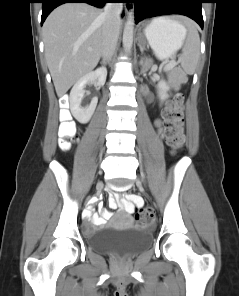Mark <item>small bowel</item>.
I'll use <instances>...</instances> for the list:
<instances>
[{
  "mask_svg": "<svg viewBox=\"0 0 239 296\" xmlns=\"http://www.w3.org/2000/svg\"><path fill=\"white\" fill-rule=\"evenodd\" d=\"M161 123L162 121L158 119L156 121V126L158 130L161 132ZM143 205V200L133 194H128L124 196H120L119 194H113L109 198V207L111 209L120 208L122 211L127 214H132L135 206ZM85 216H87L91 222L97 226L103 225L109 220L112 216V213L106 209H101L100 214L91 213L89 210L85 212ZM90 231V230H88Z\"/></svg>",
  "mask_w": 239,
  "mask_h": 296,
  "instance_id": "small-bowel-1",
  "label": "small bowel"
}]
</instances>
